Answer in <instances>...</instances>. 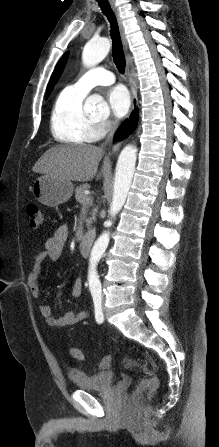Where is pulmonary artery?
<instances>
[{
	"instance_id": "pulmonary-artery-1",
	"label": "pulmonary artery",
	"mask_w": 219,
	"mask_h": 447,
	"mask_svg": "<svg viewBox=\"0 0 219 447\" xmlns=\"http://www.w3.org/2000/svg\"><path fill=\"white\" fill-rule=\"evenodd\" d=\"M115 82V77L110 71L95 68L82 75L75 83L69 87L80 94L86 95L91 88L97 85H110Z\"/></svg>"
}]
</instances>
